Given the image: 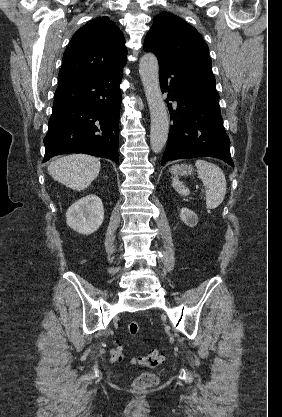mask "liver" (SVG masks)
Wrapping results in <instances>:
<instances>
[{"label": "liver", "mask_w": 282, "mask_h": 417, "mask_svg": "<svg viewBox=\"0 0 282 417\" xmlns=\"http://www.w3.org/2000/svg\"><path fill=\"white\" fill-rule=\"evenodd\" d=\"M101 162L89 154H68L50 162L47 170L54 180L73 190H84L99 174Z\"/></svg>", "instance_id": "6515ba94"}]
</instances>
